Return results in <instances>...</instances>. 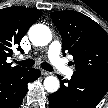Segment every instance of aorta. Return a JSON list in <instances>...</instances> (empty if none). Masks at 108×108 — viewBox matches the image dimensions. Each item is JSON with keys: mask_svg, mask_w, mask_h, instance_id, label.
Instances as JSON below:
<instances>
[{"mask_svg": "<svg viewBox=\"0 0 108 108\" xmlns=\"http://www.w3.org/2000/svg\"><path fill=\"white\" fill-rule=\"evenodd\" d=\"M30 41L36 46H45L50 43L52 39L51 30L43 24H35L30 27L28 31ZM60 82L55 76H48L44 80L45 89L54 93L59 89Z\"/></svg>", "mask_w": 108, "mask_h": 108, "instance_id": "1", "label": "aorta"}]
</instances>
